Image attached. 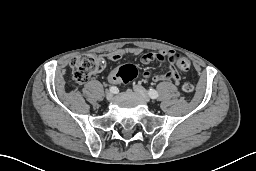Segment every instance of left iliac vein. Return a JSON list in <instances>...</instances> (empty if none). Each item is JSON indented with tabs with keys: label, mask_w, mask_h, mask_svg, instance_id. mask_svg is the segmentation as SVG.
<instances>
[{
	"label": "left iliac vein",
	"mask_w": 256,
	"mask_h": 171,
	"mask_svg": "<svg viewBox=\"0 0 256 171\" xmlns=\"http://www.w3.org/2000/svg\"><path fill=\"white\" fill-rule=\"evenodd\" d=\"M133 89L145 102L149 103L151 101L146 90L141 85H134Z\"/></svg>",
	"instance_id": "4c4485c4"
}]
</instances>
